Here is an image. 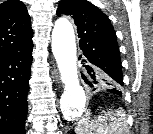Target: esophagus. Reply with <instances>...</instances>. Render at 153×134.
Segmentation results:
<instances>
[{
  "mask_svg": "<svg viewBox=\"0 0 153 134\" xmlns=\"http://www.w3.org/2000/svg\"><path fill=\"white\" fill-rule=\"evenodd\" d=\"M52 74L55 76V77H58V72L57 70L54 68V70L52 71Z\"/></svg>",
  "mask_w": 153,
  "mask_h": 134,
  "instance_id": "esophagus-1",
  "label": "esophagus"
}]
</instances>
